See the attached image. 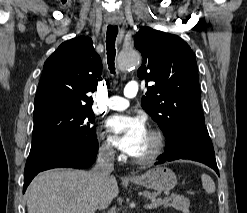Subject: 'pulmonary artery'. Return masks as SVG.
<instances>
[{
	"label": "pulmonary artery",
	"mask_w": 247,
	"mask_h": 213,
	"mask_svg": "<svg viewBox=\"0 0 247 213\" xmlns=\"http://www.w3.org/2000/svg\"><path fill=\"white\" fill-rule=\"evenodd\" d=\"M138 93V85L136 82L128 83L124 88V96H112L107 101V107L113 110H124L129 106L128 98H133Z\"/></svg>",
	"instance_id": "obj_1"
}]
</instances>
